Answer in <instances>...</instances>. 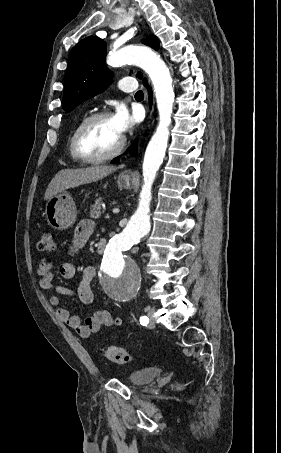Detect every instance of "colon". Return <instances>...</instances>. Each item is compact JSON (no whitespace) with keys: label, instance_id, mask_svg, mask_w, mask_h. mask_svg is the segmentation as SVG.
<instances>
[{"label":"colon","instance_id":"colon-1","mask_svg":"<svg viewBox=\"0 0 281 453\" xmlns=\"http://www.w3.org/2000/svg\"><path fill=\"white\" fill-rule=\"evenodd\" d=\"M38 248L45 255H58L59 248L56 244V232L54 230H46L43 233L42 239L38 244ZM104 357L108 363H134L139 358L132 352L120 348H107L104 350Z\"/></svg>","mask_w":281,"mask_h":453}]
</instances>
